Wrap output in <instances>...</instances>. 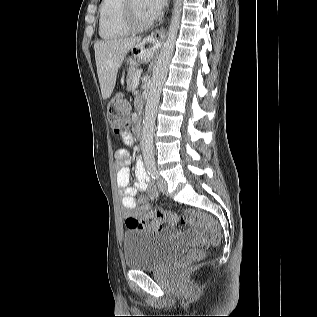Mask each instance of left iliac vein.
<instances>
[{
	"label": "left iliac vein",
	"instance_id": "left-iliac-vein-1",
	"mask_svg": "<svg viewBox=\"0 0 317 317\" xmlns=\"http://www.w3.org/2000/svg\"><path fill=\"white\" fill-rule=\"evenodd\" d=\"M158 187L163 194H168L167 183L163 178L158 179Z\"/></svg>",
	"mask_w": 317,
	"mask_h": 317
}]
</instances>
